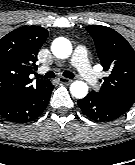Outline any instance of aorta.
<instances>
[{
	"label": "aorta",
	"instance_id": "obj_1",
	"mask_svg": "<svg viewBox=\"0 0 135 165\" xmlns=\"http://www.w3.org/2000/svg\"><path fill=\"white\" fill-rule=\"evenodd\" d=\"M52 53L60 59L68 58L72 53V45L65 38H58L52 43ZM72 96L82 99L88 94V86L83 81H75L70 86Z\"/></svg>",
	"mask_w": 135,
	"mask_h": 165
}]
</instances>
